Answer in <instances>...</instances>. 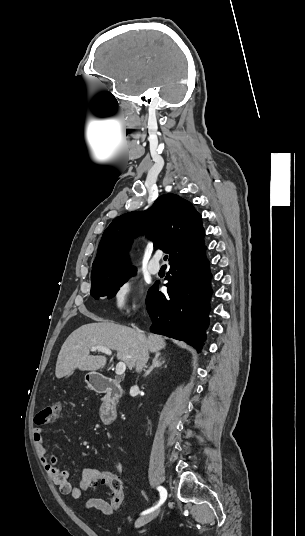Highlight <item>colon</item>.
Masks as SVG:
<instances>
[{
  "label": "colon",
  "instance_id": "colon-1",
  "mask_svg": "<svg viewBox=\"0 0 305 536\" xmlns=\"http://www.w3.org/2000/svg\"><path fill=\"white\" fill-rule=\"evenodd\" d=\"M63 403L61 401H57L54 403H51L47 405L43 411H36L35 417L32 420V423L34 426L39 427L47 424L48 422H51L57 414L62 410ZM93 474L95 476H98L100 474V471L98 469H95L93 471ZM95 484L97 486H110L112 489V498H111V505L114 508H119L124 501V488H123V482L120 480V477L116 473H112L110 475L106 474V471H103V474H101L99 477L95 479Z\"/></svg>",
  "mask_w": 305,
  "mask_h": 536
}]
</instances>
